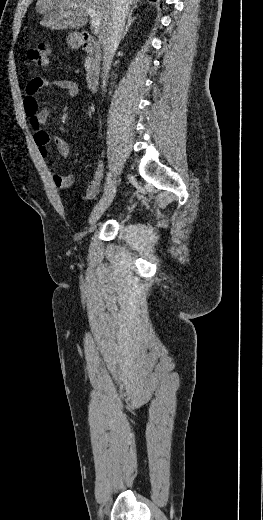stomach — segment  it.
Instances as JSON below:
<instances>
[{"label": "stomach", "mask_w": 263, "mask_h": 520, "mask_svg": "<svg viewBox=\"0 0 263 520\" xmlns=\"http://www.w3.org/2000/svg\"><path fill=\"white\" fill-rule=\"evenodd\" d=\"M67 41L72 47H79L81 44V37L76 32L70 33Z\"/></svg>", "instance_id": "0dacf381"}]
</instances>
